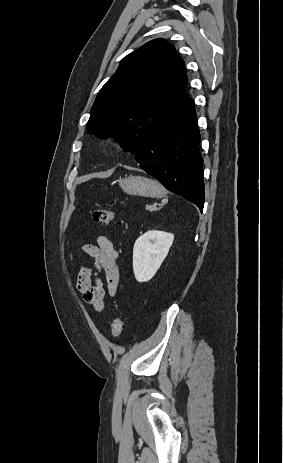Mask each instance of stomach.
Instances as JSON below:
<instances>
[{"instance_id":"stomach-1","label":"stomach","mask_w":283,"mask_h":463,"mask_svg":"<svg viewBox=\"0 0 283 463\" xmlns=\"http://www.w3.org/2000/svg\"><path fill=\"white\" fill-rule=\"evenodd\" d=\"M119 186L129 195L160 197L164 194L163 187L157 181L141 176H126L119 181Z\"/></svg>"}]
</instances>
